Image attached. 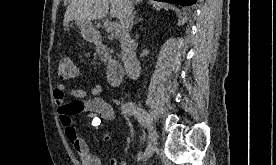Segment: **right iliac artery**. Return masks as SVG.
I'll list each match as a JSON object with an SVG mask.
<instances>
[{"label": "right iliac artery", "instance_id": "1", "mask_svg": "<svg viewBox=\"0 0 276 165\" xmlns=\"http://www.w3.org/2000/svg\"><path fill=\"white\" fill-rule=\"evenodd\" d=\"M122 112L125 113V114H129V115H134L135 118L138 119L139 123L142 125V126H145V120H144V117L141 113V109L136 106L135 104L129 102V103H126L122 106ZM143 152H139L137 154V159L138 160H141L143 158Z\"/></svg>", "mask_w": 276, "mask_h": 165}]
</instances>
